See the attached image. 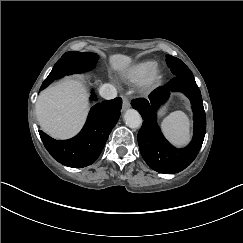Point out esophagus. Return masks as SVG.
Wrapping results in <instances>:
<instances>
[{"label": "esophagus", "instance_id": "34e87169", "mask_svg": "<svg viewBox=\"0 0 243 243\" xmlns=\"http://www.w3.org/2000/svg\"><path fill=\"white\" fill-rule=\"evenodd\" d=\"M130 101L128 98L124 97L123 98V109H127V108H130Z\"/></svg>", "mask_w": 243, "mask_h": 243}]
</instances>
